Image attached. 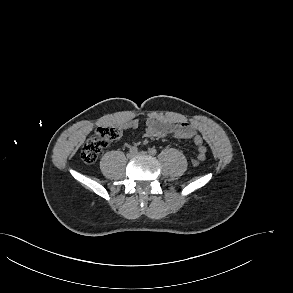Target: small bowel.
I'll return each instance as SVG.
<instances>
[{"label": "small bowel", "mask_w": 293, "mask_h": 293, "mask_svg": "<svg viewBox=\"0 0 293 293\" xmlns=\"http://www.w3.org/2000/svg\"><path fill=\"white\" fill-rule=\"evenodd\" d=\"M132 126H137L136 122ZM145 136L150 138L176 137L182 139H192L198 146V151L206 153V148L203 145V138L197 132L195 127L188 122H172L164 117L148 116L144 120Z\"/></svg>", "instance_id": "1"}]
</instances>
